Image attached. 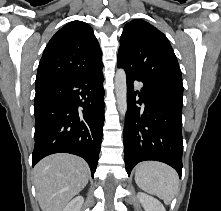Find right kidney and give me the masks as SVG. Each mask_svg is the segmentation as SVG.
Segmentation results:
<instances>
[{
  "instance_id": "right-kidney-1",
  "label": "right kidney",
  "mask_w": 221,
  "mask_h": 211,
  "mask_svg": "<svg viewBox=\"0 0 221 211\" xmlns=\"http://www.w3.org/2000/svg\"><path fill=\"white\" fill-rule=\"evenodd\" d=\"M84 203L82 196H77L67 204L63 211H81V207Z\"/></svg>"
}]
</instances>
